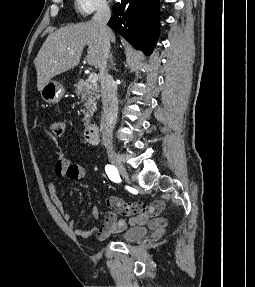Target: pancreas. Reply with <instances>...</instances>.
Masks as SVG:
<instances>
[{
  "instance_id": "pancreas-1",
  "label": "pancreas",
  "mask_w": 255,
  "mask_h": 287,
  "mask_svg": "<svg viewBox=\"0 0 255 287\" xmlns=\"http://www.w3.org/2000/svg\"><path fill=\"white\" fill-rule=\"evenodd\" d=\"M75 86V94L77 96H81L82 102H84V126H87L89 124L90 116L95 112L96 110V100H99L100 96L98 94L99 92V86L97 84H93V82H84V80H79L77 84H74Z\"/></svg>"
}]
</instances>
